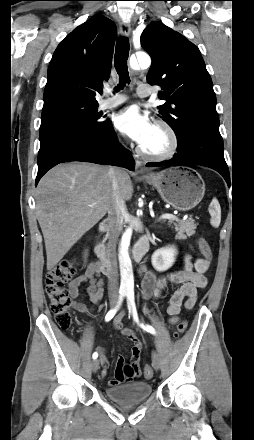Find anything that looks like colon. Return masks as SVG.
I'll return each instance as SVG.
<instances>
[{"mask_svg": "<svg viewBox=\"0 0 254 440\" xmlns=\"http://www.w3.org/2000/svg\"><path fill=\"white\" fill-rule=\"evenodd\" d=\"M197 243L204 260L209 262L212 259L213 252L208 241L203 237H199ZM76 270V263L73 260H64L52 267L46 276L45 288L50 308L54 314L56 324L64 330L72 326L71 299L69 291L66 290L64 285L75 275ZM186 329L187 322L180 321L176 326L175 337L182 336ZM143 373L146 378H151L153 376L152 367L146 365ZM124 374L129 380L137 376L130 365L124 366Z\"/></svg>", "mask_w": 254, "mask_h": 440, "instance_id": "5ec220e1", "label": "colon"}]
</instances>
